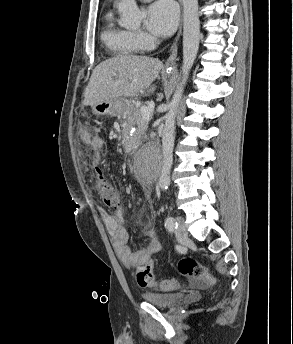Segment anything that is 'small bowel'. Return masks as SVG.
Masks as SVG:
<instances>
[{"label":"small bowel","mask_w":293,"mask_h":344,"mask_svg":"<svg viewBox=\"0 0 293 344\" xmlns=\"http://www.w3.org/2000/svg\"><path fill=\"white\" fill-rule=\"evenodd\" d=\"M80 139L84 145L94 149L102 150L105 147V141L101 137L93 136L85 130L80 131ZM101 216L118 258L127 267L141 265L161 250V243L152 225H146V234L150 242L145 248L132 251L127 246L129 233L124 227L122 207L118 206L113 213L103 210Z\"/></svg>","instance_id":"small-bowel-1"}]
</instances>
